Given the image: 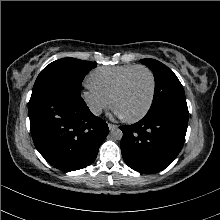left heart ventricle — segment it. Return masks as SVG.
Here are the masks:
<instances>
[{
	"label": "left heart ventricle",
	"instance_id": "left-heart-ventricle-1",
	"mask_svg": "<svg viewBox=\"0 0 220 220\" xmlns=\"http://www.w3.org/2000/svg\"><path fill=\"white\" fill-rule=\"evenodd\" d=\"M150 94L151 79L146 71L138 70L115 99L114 107L118 108L124 117H134L144 110Z\"/></svg>",
	"mask_w": 220,
	"mask_h": 220
}]
</instances>
